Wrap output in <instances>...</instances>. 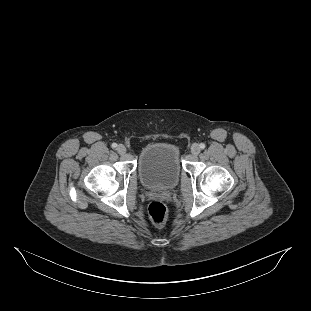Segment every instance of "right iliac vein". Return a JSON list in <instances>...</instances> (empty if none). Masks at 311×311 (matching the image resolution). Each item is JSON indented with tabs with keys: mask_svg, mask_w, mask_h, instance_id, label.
<instances>
[{
	"mask_svg": "<svg viewBox=\"0 0 311 311\" xmlns=\"http://www.w3.org/2000/svg\"><path fill=\"white\" fill-rule=\"evenodd\" d=\"M116 150H117V152H118L119 154H124V153L126 152V148H125V146L122 145V144L118 145V147H117Z\"/></svg>",
	"mask_w": 311,
	"mask_h": 311,
	"instance_id": "right-iliac-vein-1",
	"label": "right iliac vein"
}]
</instances>
